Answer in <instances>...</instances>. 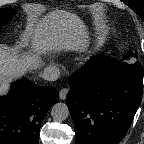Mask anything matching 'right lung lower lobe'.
Wrapping results in <instances>:
<instances>
[{
    "label": "right lung lower lobe",
    "mask_w": 144,
    "mask_h": 144,
    "mask_svg": "<svg viewBox=\"0 0 144 144\" xmlns=\"http://www.w3.org/2000/svg\"><path fill=\"white\" fill-rule=\"evenodd\" d=\"M59 92L22 79L0 97V144H38L41 123Z\"/></svg>",
    "instance_id": "98d812e1"
}]
</instances>
